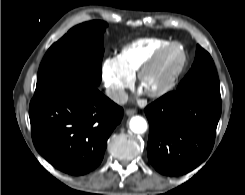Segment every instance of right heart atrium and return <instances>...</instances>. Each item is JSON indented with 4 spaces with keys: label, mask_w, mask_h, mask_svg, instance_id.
Here are the masks:
<instances>
[{
    "label": "right heart atrium",
    "mask_w": 245,
    "mask_h": 195,
    "mask_svg": "<svg viewBox=\"0 0 245 195\" xmlns=\"http://www.w3.org/2000/svg\"><path fill=\"white\" fill-rule=\"evenodd\" d=\"M100 75L106 95L116 103L123 102L133 77L122 68L117 57H108L102 61Z\"/></svg>",
    "instance_id": "obj_1"
}]
</instances>
